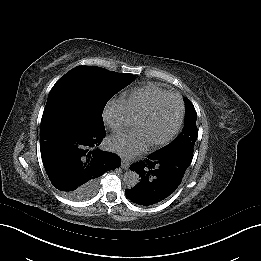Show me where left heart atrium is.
Listing matches in <instances>:
<instances>
[{
  "instance_id": "left-heart-atrium-1",
  "label": "left heart atrium",
  "mask_w": 261,
  "mask_h": 261,
  "mask_svg": "<svg viewBox=\"0 0 261 261\" xmlns=\"http://www.w3.org/2000/svg\"><path fill=\"white\" fill-rule=\"evenodd\" d=\"M112 147L122 156L135 159L143 155L147 146L145 140L138 134L126 132L120 133L112 139Z\"/></svg>"
}]
</instances>
